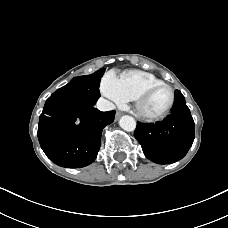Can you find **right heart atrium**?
<instances>
[{
	"label": "right heart atrium",
	"instance_id": "obj_1",
	"mask_svg": "<svg viewBox=\"0 0 228 228\" xmlns=\"http://www.w3.org/2000/svg\"><path fill=\"white\" fill-rule=\"evenodd\" d=\"M102 93L113 103L123 104L127 99L122 95L117 84V78L112 73H107L101 81Z\"/></svg>",
	"mask_w": 228,
	"mask_h": 228
}]
</instances>
